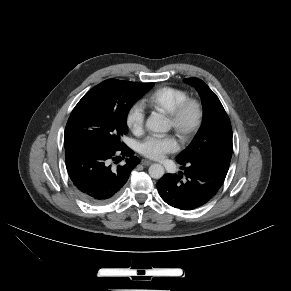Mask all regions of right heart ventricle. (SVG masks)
<instances>
[{
    "label": "right heart ventricle",
    "instance_id": "obj_1",
    "mask_svg": "<svg viewBox=\"0 0 291 291\" xmlns=\"http://www.w3.org/2000/svg\"><path fill=\"white\" fill-rule=\"evenodd\" d=\"M189 97L186 90L163 86L157 88L143 99V105L164 114H169L179 103Z\"/></svg>",
    "mask_w": 291,
    "mask_h": 291
}]
</instances>
